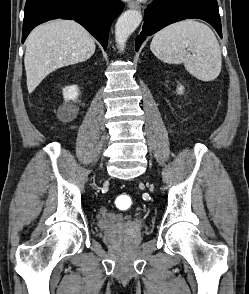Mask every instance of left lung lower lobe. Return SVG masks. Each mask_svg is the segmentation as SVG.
Segmentation results:
<instances>
[{
    "label": "left lung lower lobe",
    "instance_id": "left-lung-lower-lobe-1",
    "mask_svg": "<svg viewBox=\"0 0 249 294\" xmlns=\"http://www.w3.org/2000/svg\"><path fill=\"white\" fill-rule=\"evenodd\" d=\"M146 20L142 32L136 38L135 49L139 50L146 36L165 26L188 18L202 19L211 24L222 38L217 0H154L145 10Z\"/></svg>",
    "mask_w": 249,
    "mask_h": 294
}]
</instances>
